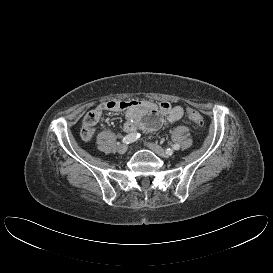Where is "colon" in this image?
<instances>
[{
  "mask_svg": "<svg viewBox=\"0 0 273 273\" xmlns=\"http://www.w3.org/2000/svg\"><path fill=\"white\" fill-rule=\"evenodd\" d=\"M187 117L199 127H203L204 119L203 116L195 109H187Z\"/></svg>",
  "mask_w": 273,
  "mask_h": 273,
  "instance_id": "obj_1",
  "label": "colon"
}]
</instances>
